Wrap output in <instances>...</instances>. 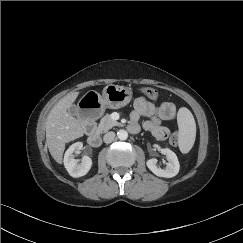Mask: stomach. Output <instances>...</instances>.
Wrapping results in <instances>:
<instances>
[{"mask_svg": "<svg viewBox=\"0 0 243 243\" xmlns=\"http://www.w3.org/2000/svg\"><path fill=\"white\" fill-rule=\"evenodd\" d=\"M132 99V90L128 87L114 84L107 85L100 95L96 91L87 92L80 103H88V108H94L97 114H102L106 108L119 109L126 106Z\"/></svg>", "mask_w": 243, "mask_h": 243, "instance_id": "obj_1", "label": "stomach"}]
</instances>
